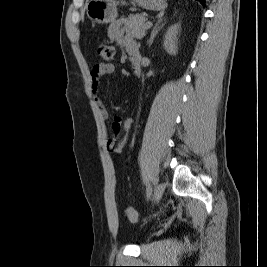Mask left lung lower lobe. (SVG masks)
<instances>
[{"label":"left lung lower lobe","instance_id":"0a47b994","mask_svg":"<svg viewBox=\"0 0 267 267\" xmlns=\"http://www.w3.org/2000/svg\"><path fill=\"white\" fill-rule=\"evenodd\" d=\"M199 1L202 5H205V0H197Z\"/></svg>","mask_w":267,"mask_h":267}]
</instances>
